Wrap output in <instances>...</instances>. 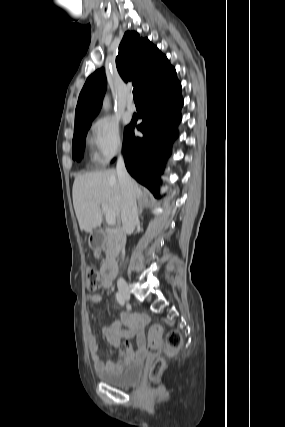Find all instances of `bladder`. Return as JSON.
<instances>
[{
    "instance_id": "obj_1",
    "label": "bladder",
    "mask_w": 285,
    "mask_h": 427,
    "mask_svg": "<svg viewBox=\"0 0 285 427\" xmlns=\"http://www.w3.org/2000/svg\"><path fill=\"white\" fill-rule=\"evenodd\" d=\"M99 376L110 386H130L140 380L142 376V363L136 362L119 370L103 371Z\"/></svg>"
}]
</instances>
